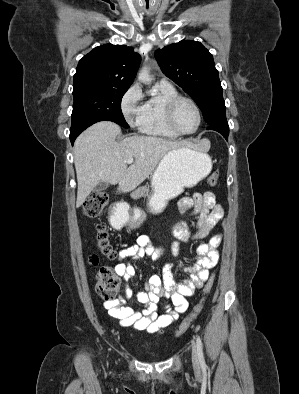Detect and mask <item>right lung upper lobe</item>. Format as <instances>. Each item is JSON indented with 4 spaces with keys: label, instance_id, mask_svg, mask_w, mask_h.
I'll return each mask as SVG.
<instances>
[{
    "label": "right lung upper lobe",
    "instance_id": "1",
    "mask_svg": "<svg viewBox=\"0 0 299 394\" xmlns=\"http://www.w3.org/2000/svg\"><path fill=\"white\" fill-rule=\"evenodd\" d=\"M132 47L106 44L94 48L78 63L73 88L105 86L129 88L140 66Z\"/></svg>",
    "mask_w": 299,
    "mask_h": 394
}]
</instances>
